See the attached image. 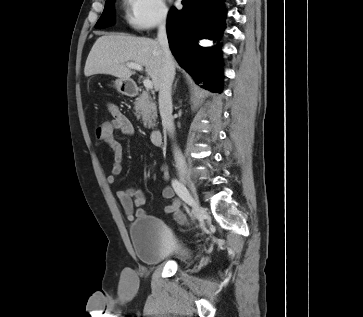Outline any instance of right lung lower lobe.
Listing matches in <instances>:
<instances>
[{
    "instance_id": "1",
    "label": "right lung lower lobe",
    "mask_w": 363,
    "mask_h": 317,
    "mask_svg": "<svg viewBox=\"0 0 363 317\" xmlns=\"http://www.w3.org/2000/svg\"><path fill=\"white\" fill-rule=\"evenodd\" d=\"M183 10L173 8L168 15L167 34L170 49L178 63L196 82L204 80V87L221 91L222 67L213 56L198 45L203 38L214 39L222 29L225 11L218 0H182ZM204 60H209L208 64Z\"/></svg>"
}]
</instances>
